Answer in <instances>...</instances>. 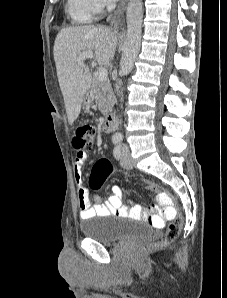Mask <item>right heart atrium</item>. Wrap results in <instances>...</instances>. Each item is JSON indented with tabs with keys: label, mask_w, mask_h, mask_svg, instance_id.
<instances>
[{
	"label": "right heart atrium",
	"mask_w": 227,
	"mask_h": 298,
	"mask_svg": "<svg viewBox=\"0 0 227 298\" xmlns=\"http://www.w3.org/2000/svg\"><path fill=\"white\" fill-rule=\"evenodd\" d=\"M76 2L92 16L99 15L110 4V0H76Z\"/></svg>",
	"instance_id": "right-heart-atrium-1"
}]
</instances>
